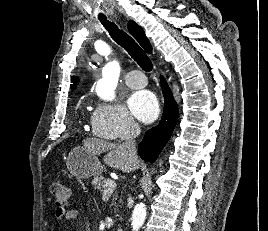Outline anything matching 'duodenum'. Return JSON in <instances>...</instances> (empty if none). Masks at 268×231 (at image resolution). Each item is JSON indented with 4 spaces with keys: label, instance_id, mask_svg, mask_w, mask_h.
I'll return each instance as SVG.
<instances>
[{
    "label": "duodenum",
    "instance_id": "410a0bca",
    "mask_svg": "<svg viewBox=\"0 0 268 231\" xmlns=\"http://www.w3.org/2000/svg\"><path fill=\"white\" fill-rule=\"evenodd\" d=\"M118 231H124L123 229H119Z\"/></svg>",
    "mask_w": 268,
    "mask_h": 231
}]
</instances>
